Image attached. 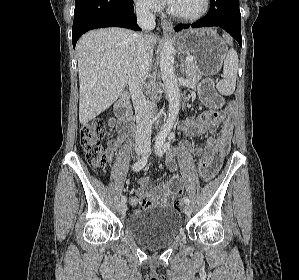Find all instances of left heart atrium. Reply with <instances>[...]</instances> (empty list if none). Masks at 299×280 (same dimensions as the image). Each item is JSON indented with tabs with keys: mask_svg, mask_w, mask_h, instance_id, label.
<instances>
[{
	"mask_svg": "<svg viewBox=\"0 0 299 280\" xmlns=\"http://www.w3.org/2000/svg\"><path fill=\"white\" fill-rule=\"evenodd\" d=\"M167 2H171V0H166Z\"/></svg>",
	"mask_w": 299,
	"mask_h": 280,
	"instance_id": "39dd6f15",
	"label": "left heart atrium"
}]
</instances>
